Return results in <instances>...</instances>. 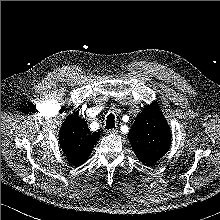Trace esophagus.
<instances>
[{
  "label": "esophagus",
  "mask_w": 220,
  "mask_h": 220,
  "mask_svg": "<svg viewBox=\"0 0 220 220\" xmlns=\"http://www.w3.org/2000/svg\"><path fill=\"white\" fill-rule=\"evenodd\" d=\"M118 130L117 129H107L106 134H117Z\"/></svg>",
  "instance_id": "obj_1"
}]
</instances>
